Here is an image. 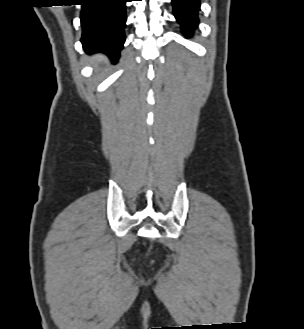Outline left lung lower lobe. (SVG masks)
<instances>
[{
  "label": "left lung lower lobe",
  "instance_id": "obj_1",
  "mask_svg": "<svg viewBox=\"0 0 304 329\" xmlns=\"http://www.w3.org/2000/svg\"><path fill=\"white\" fill-rule=\"evenodd\" d=\"M174 16L182 26L183 33L189 37L198 25L200 0H172Z\"/></svg>",
  "mask_w": 304,
  "mask_h": 329
}]
</instances>
